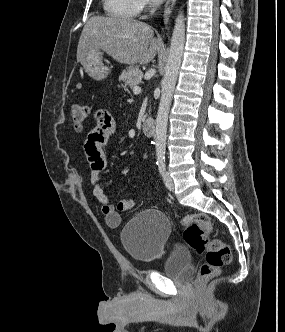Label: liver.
Wrapping results in <instances>:
<instances>
[{"label":"liver","instance_id":"6515ba94","mask_svg":"<svg viewBox=\"0 0 285 332\" xmlns=\"http://www.w3.org/2000/svg\"><path fill=\"white\" fill-rule=\"evenodd\" d=\"M160 42L151 26L134 19L93 16L85 24L77 47L81 62L93 51L103 50L116 61L134 65L154 59Z\"/></svg>","mask_w":285,"mask_h":332}]
</instances>
